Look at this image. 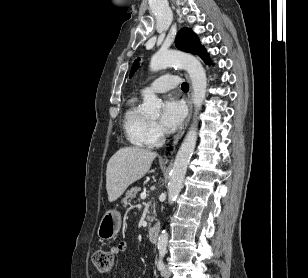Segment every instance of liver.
<instances>
[{"label":"liver","instance_id":"liver-1","mask_svg":"<svg viewBox=\"0 0 308 278\" xmlns=\"http://www.w3.org/2000/svg\"><path fill=\"white\" fill-rule=\"evenodd\" d=\"M157 153L140 147L119 149L108 161L106 190L109 202L116 201L129 185L141 179L150 169Z\"/></svg>","mask_w":308,"mask_h":278}]
</instances>
